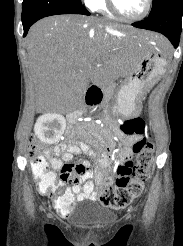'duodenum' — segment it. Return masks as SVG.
Wrapping results in <instances>:
<instances>
[{"label":"duodenum","instance_id":"obj_1","mask_svg":"<svg viewBox=\"0 0 183 246\" xmlns=\"http://www.w3.org/2000/svg\"><path fill=\"white\" fill-rule=\"evenodd\" d=\"M104 100V93L101 87L97 85L90 86L84 97L82 109H89L99 106ZM78 108L69 115L70 121H75L77 116H83V111Z\"/></svg>","mask_w":183,"mask_h":246}]
</instances>
